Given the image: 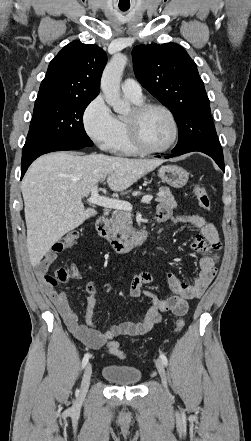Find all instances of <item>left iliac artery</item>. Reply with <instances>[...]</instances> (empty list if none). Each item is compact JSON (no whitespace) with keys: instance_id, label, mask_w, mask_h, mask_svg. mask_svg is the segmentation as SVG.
<instances>
[{"instance_id":"1","label":"left iliac artery","mask_w":251,"mask_h":441,"mask_svg":"<svg viewBox=\"0 0 251 441\" xmlns=\"http://www.w3.org/2000/svg\"><path fill=\"white\" fill-rule=\"evenodd\" d=\"M160 359L165 366L168 365L167 357L164 354H162V353L160 354Z\"/></svg>"}]
</instances>
